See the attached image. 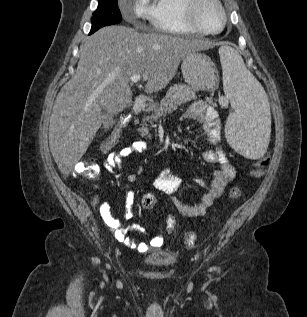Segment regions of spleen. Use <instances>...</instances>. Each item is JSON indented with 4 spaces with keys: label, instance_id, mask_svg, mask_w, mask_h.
<instances>
[{
    "label": "spleen",
    "instance_id": "3e777b00",
    "mask_svg": "<svg viewBox=\"0 0 307 317\" xmlns=\"http://www.w3.org/2000/svg\"><path fill=\"white\" fill-rule=\"evenodd\" d=\"M219 55L224 92L237 104L236 113L229 115L225 125L227 141L240 155L260 157L267 148L270 134L272 106L268 96L237 51L223 46Z\"/></svg>",
    "mask_w": 307,
    "mask_h": 317
}]
</instances>
